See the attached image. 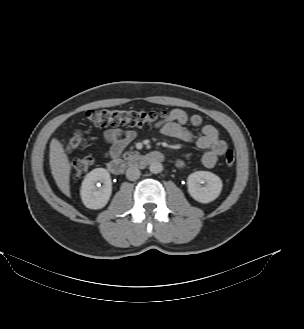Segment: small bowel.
I'll list each match as a JSON object with an SVG mask.
<instances>
[{
    "instance_id": "small-bowel-1",
    "label": "small bowel",
    "mask_w": 304,
    "mask_h": 329,
    "mask_svg": "<svg viewBox=\"0 0 304 329\" xmlns=\"http://www.w3.org/2000/svg\"><path fill=\"white\" fill-rule=\"evenodd\" d=\"M186 124L199 128V134L187 129ZM156 128L166 137L194 143L199 149L204 150L199 163L206 168L213 167L227 150V143L220 138L218 130L213 125L204 124L199 114H189L180 108L170 110L166 120ZM135 137L136 133L131 129L117 127L107 129L103 135V142L108 146L105 157L118 158ZM178 166L185 167L186 164L180 160Z\"/></svg>"
}]
</instances>
